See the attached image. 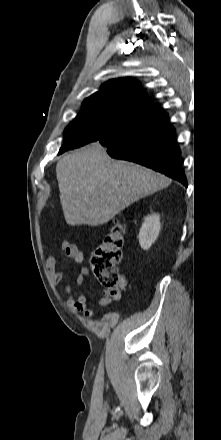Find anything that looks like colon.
I'll return each mask as SVG.
<instances>
[{
  "label": "colon",
  "mask_w": 221,
  "mask_h": 440,
  "mask_svg": "<svg viewBox=\"0 0 221 440\" xmlns=\"http://www.w3.org/2000/svg\"><path fill=\"white\" fill-rule=\"evenodd\" d=\"M123 245V227L115 223L95 247L90 261L98 283L115 292H121L125 283L123 275L117 270L123 256Z\"/></svg>",
  "instance_id": "5ec220e1"
}]
</instances>
